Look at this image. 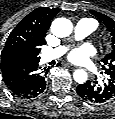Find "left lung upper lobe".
Here are the masks:
<instances>
[{"label": "left lung upper lobe", "mask_w": 115, "mask_h": 119, "mask_svg": "<svg viewBox=\"0 0 115 119\" xmlns=\"http://www.w3.org/2000/svg\"><path fill=\"white\" fill-rule=\"evenodd\" d=\"M90 12L101 23L106 35L107 49L101 59L102 69L107 75V78H115V21L100 12Z\"/></svg>", "instance_id": "left-lung-upper-lobe-1"}]
</instances>
